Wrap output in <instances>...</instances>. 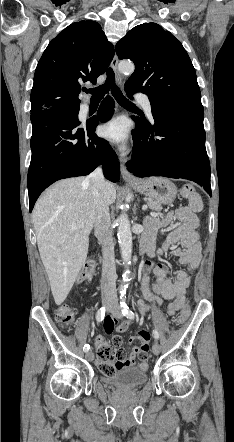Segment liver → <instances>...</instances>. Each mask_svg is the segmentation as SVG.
<instances>
[{
	"label": "liver",
	"mask_w": 234,
	"mask_h": 442,
	"mask_svg": "<svg viewBox=\"0 0 234 442\" xmlns=\"http://www.w3.org/2000/svg\"><path fill=\"white\" fill-rule=\"evenodd\" d=\"M104 197L108 206L116 200L110 182H105ZM96 216L95 197L83 177L57 182L35 204L32 219L38 249L57 305L68 296L86 261ZM79 221L84 222L83 227H70Z\"/></svg>",
	"instance_id": "liver-1"
}]
</instances>
